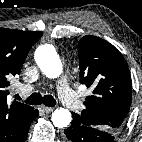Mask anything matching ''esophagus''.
<instances>
[{
  "mask_svg": "<svg viewBox=\"0 0 142 142\" xmlns=\"http://www.w3.org/2000/svg\"><path fill=\"white\" fill-rule=\"evenodd\" d=\"M42 109H43V111L46 112V113H50V112L53 111V108L47 107V106H44V105L42 106Z\"/></svg>",
  "mask_w": 142,
  "mask_h": 142,
  "instance_id": "obj_1",
  "label": "esophagus"
}]
</instances>
